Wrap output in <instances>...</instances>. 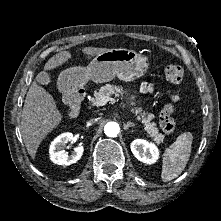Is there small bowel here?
Here are the masks:
<instances>
[{"instance_id": "1", "label": "small bowel", "mask_w": 221, "mask_h": 221, "mask_svg": "<svg viewBox=\"0 0 221 221\" xmlns=\"http://www.w3.org/2000/svg\"><path fill=\"white\" fill-rule=\"evenodd\" d=\"M140 90L144 93H151L154 91V86L152 84L149 83H143L140 86Z\"/></svg>"}]
</instances>
